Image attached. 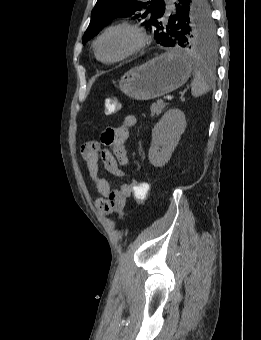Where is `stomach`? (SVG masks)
Returning <instances> with one entry per match:
<instances>
[{
  "label": "stomach",
  "instance_id": "0dacf381",
  "mask_svg": "<svg viewBox=\"0 0 261 340\" xmlns=\"http://www.w3.org/2000/svg\"><path fill=\"white\" fill-rule=\"evenodd\" d=\"M191 72L187 58L165 53L126 72L119 81V88L132 99L147 101L178 89Z\"/></svg>",
  "mask_w": 261,
  "mask_h": 340
}]
</instances>
